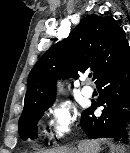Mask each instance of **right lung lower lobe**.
<instances>
[{
    "mask_svg": "<svg viewBox=\"0 0 130 153\" xmlns=\"http://www.w3.org/2000/svg\"><path fill=\"white\" fill-rule=\"evenodd\" d=\"M95 83L100 96L83 111L82 129L89 138L126 137L125 126L130 117V56L101 75ZM98 106L104 107L100 117L93 114ZM123 106H128L129 111Z\"/></svg>",
    "mask_w": 130,
    "mask_h": 153,
    "instance_id": "obj_1",
    "label": "right lung lower lobe"
}]
</instances>
